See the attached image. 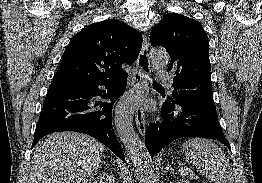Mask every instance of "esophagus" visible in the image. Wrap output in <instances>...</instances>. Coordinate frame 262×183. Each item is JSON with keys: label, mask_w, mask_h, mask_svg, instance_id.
<instances>
[{"label": "esophagus", "mask_w": 262, "mask_h": 183, "mask_svg": "<svg viewBox=\"0 0 262 183\" xmlns=\"http://www.w3.org/2000/svg\"><path fill=\"white\" fill-rule=\"evenodd\" d=\"M151 74L150 59L148 55V41L147 37L143 35V44L142 49L137 60V69L132 74L131 83L133 87L141 88L142 94L140 96L136 112H135V122L138 128V131L141 135H144L146 132V119L144 112V101L149 95V88L145 82V76Z\"/></svg>", "instance_id": "34e87169"}]
</instances>
